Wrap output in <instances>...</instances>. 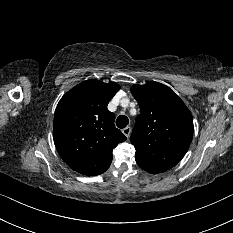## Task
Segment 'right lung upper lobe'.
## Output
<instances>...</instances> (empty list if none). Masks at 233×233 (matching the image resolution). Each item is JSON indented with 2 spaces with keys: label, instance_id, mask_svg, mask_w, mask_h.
Masks as SVG:
<instances>
[{
  "label": "right lung upper lobe",
  "instance_id": "1",
  "mask_svg": "<svg viewBox=\"0 0 233 233\" xmlns=\"http://www.w3.org/2000/svg\"><path fill=\"white\" fill-rule=\"evenodd\" d=\"M120 89L117 83L90 79L70 91L59 101L53 137L64 162L88 176L105 172L112 161V150L126 140L115 127L109 101Z\"/></svg>",
  "mask_w": 233,
  "mask_h": 233
}]
</instances>
